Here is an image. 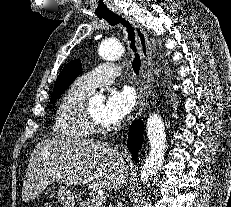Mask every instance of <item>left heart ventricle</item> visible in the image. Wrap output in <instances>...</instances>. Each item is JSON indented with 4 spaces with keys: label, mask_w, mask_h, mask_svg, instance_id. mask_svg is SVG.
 I'll return each instance as SVG.
<instances>
[{
    "label": "left heart ventricle",
    "mask_w": 231,
    "mask_h": 207,
    "mask_svg": "<svg viewBox=\"0 0 231 207\" xmlns=\"http://www.w3.org/2000/svg\"><path fill=\"white\" fill-rule=\"evenodd\" d=\"M103 109H104L103 103L93 104L88 107L91 116L100 122H104L102 119Z\"/></svg>",
    "instance_id": "b2bd125f"
}]
</instances>
